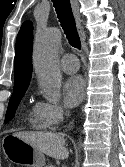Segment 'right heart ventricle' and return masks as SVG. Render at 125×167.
<instances>
[{"label":"right heart ventricle","mask_w":125,"mask_h":167,"mask_svg":"<svg viewBox=\"0 0 125 167\" xmlns=\"http://www.w3.org/2000/svg\"><path fill=\"white\" fill-rule=\"evenodd\" d=\"M27 120H28L29 125L35 129L45 130V129L50 128L44 123V121L40 117L36 105L31 110Z\"/></svg>","instance_id":"right-heart-ventricle-1"}]
</instances>
